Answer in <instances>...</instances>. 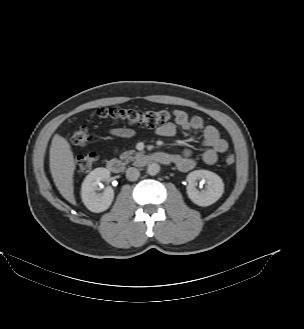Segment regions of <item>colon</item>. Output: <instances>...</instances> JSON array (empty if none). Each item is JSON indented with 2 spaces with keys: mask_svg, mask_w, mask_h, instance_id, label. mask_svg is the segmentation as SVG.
Returning <instances> with one entry per match:
<instances>
[{
  "mask_svg": "<svg viewBox=\"0 0 304 329\" xmlns=\"http://www.w3.org/2000/svg\"><path fill=\"white\" fill-rule=\"evenodd\" d=\"M94 115L108 122H124L131 125L145 126L148 128L159 127L170 122L174 116L168 110L157 111H138L134 109H119V108H103L97 110ZM72 143L77 146H82L92 140L89 129L82 125L76 129L72 135ZM97 154L95 152L87 153L81 156L76 163V169L79 174L90 172L96 163ZM227 165H233L235 157L233 153L227 152L224 157Z\"/></svg>",
  "mask_w": 304,
  "mask_h": 329,
  "instance_id": "5ec220e1",
  "label": "colon"
}]
</instances>
